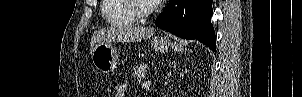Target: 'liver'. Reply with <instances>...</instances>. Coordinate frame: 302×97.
I'll return each instance as SVG.
<instances>
[{"instance_id":"liver-1","label":"liver","mask_w":302,"mask_h":97,"mask_svg":"<svg viewBox=\"0 0 302 97\" xmlns=\"http://www.w3.org/2000/svg\"><path fill=\"white\" fill-rule=\"evenodd\" d=\"M154 34V29L151 27H142L139 25H120L112 26L107 29H101L94 33L91 38V52L95 45L105 41H118V42H135L142 41Z\"/></svg>"}]
</instances>
